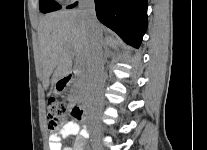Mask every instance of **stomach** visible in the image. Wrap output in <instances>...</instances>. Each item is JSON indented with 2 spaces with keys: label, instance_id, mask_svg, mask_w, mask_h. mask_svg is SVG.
Here are the masks:
<instances>
[{
  "label": "stomach",
  "instance_id": "stomach-1",
  "mask_svg": "<svg viewBox=\"0 0 207 150\" xmlns=\"http://www.w3.org/2000/svg\"><path fill=\"white\" fill-rule=\"evenodd\" d=\"M55 93H58V91L55 89Z\"/></svg>",
  "mask_w": 207,
  "mask_h": 150
}]
</instances>
